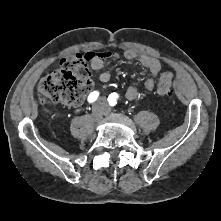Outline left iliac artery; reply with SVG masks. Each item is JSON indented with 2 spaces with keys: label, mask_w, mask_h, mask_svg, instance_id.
<instances>
[{
  "label": "left iliac artery",
  "mask_w": 221,
  "mask_h": 221,
  "mask_svg": "<svg viewBox=\"0 0 221 221\" xmlns=\"http://www.w3.org/2000/svg\"><path fill=\"white\" fill-rule=\"evenodd\" d=\"M119 95L117 93H111L108 97V102L110 106H115L117 104V99Z\"/></svg>",
  "instance_id": "1"
}]
</instances>
